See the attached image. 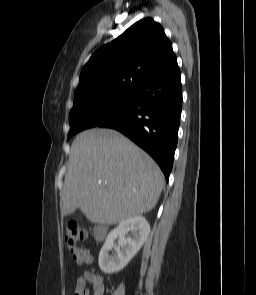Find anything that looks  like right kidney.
<instances>
[{"label": "right kidney", "instance_id": "ca27d5eb", "mask_svg": "<svg viewBox=\"0 0 256 295\" xmlns=\"http://www.w3.org/2000/svg\"><path fill=\"white\" fill-rule=\"evenodd\" d=\"M128 232L131 237H125ZM150 233V225L143 216H135L124 221L112 230L100 250L99 267L106 274L117 273L122 270L137 254ZM119 237V244L115 247L116 254L109 256L113 249L114 240Z\"/></svg>", "mask_w": 256, "mask_h": 295}]
</instances>
